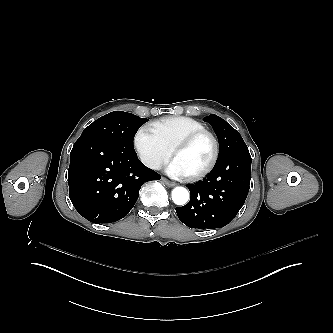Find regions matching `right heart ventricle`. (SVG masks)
Returning a JSON list of instances; mask_svg holds the SVG:
<instances>
[{
	"instance_id": "obj_1",
	"label": "right heart ventricle",
	"mask_w": 333,
	"mask_h": 333,
	"mask_svg": "<svg viewBox=\"0 0 333 333\" xmlns=\"http://www.w3.org/2000/svg\"><path fill=\"white\" fill-rule=\"evenodd\" d=\"M147 127L170 149L186 135L205 129L201 122L186 116H168Z\"/></svg>"
}]
</instances>
